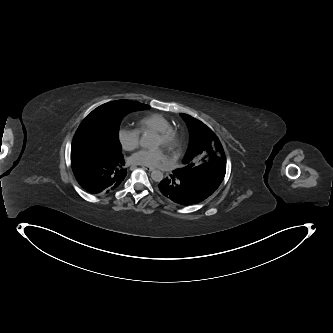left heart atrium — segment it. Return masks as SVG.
<instances>
[{
	"mask_svg": "<svg viewBox=\"0 0 333 333\" xmlns=\"http://www.w3.org/2000/svg\"><path fill=\"white\" fill-rule=\"evenodd\" d=\"M164 151L159 148H144L130 157V162L139 165H156L163 159Z\"/></svg>",
	"mask_w": 333,
	"mask_h": 333,
	"instance_id": "39dd6f15",
	"label": "left heart atrium"
}]
</instances>
